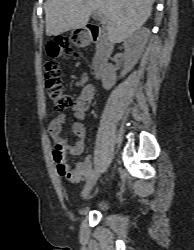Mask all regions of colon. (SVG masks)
Listing matches in <instances>:
<instances>
[{"label": "colon", "mask_w": 194, "mask_h": 250, "mask_svg": "<svg viewBox=\"0 0 194 250\" xmlns=\"http://www.w3.org/2000/svg\"><path fill=\"white\" fill-rule=\"evenodd\" d=\"M75 37L60 38L56 42L49 44L46 47L47 60L45 62V87L46 93L53 104L54 109L58 112H64L68 109H73L76 106L77 100L69 94L63 85L61 78L60 64L58 57L62 54L70 55L74 58L80 57V52L73 46ZM56 157L62 161L60 169L65 172V155L63 151H57Z\"/></svg>", "instance_id": "obj_1"}]
</instances>
